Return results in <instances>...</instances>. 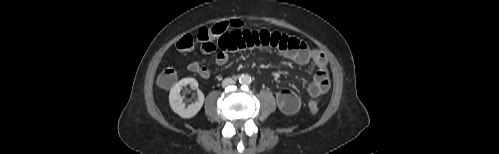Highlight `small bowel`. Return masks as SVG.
<instances>
[{"label": "small bowel", "instance_id": "1", "mask_svg": "<svg viewBox=\"0 0 499 154\" xmlns=\"http://www.w3.org/2000/svg\"><path fill=\"white\" fill-rule=\"evenodd\" d=\"M252 48L275 50L299 65L313 64L316 72L308 87L309 96L314 99L328 92L330 76L326 56L319 49L310 48L295 37L267 29H233L214 41L203 42L200 47L204 55L216 52L215 62L218 65L225 64L230 53ZM188 70L204 79L210 77L205 60L190 63ZM276 102L280 111L287 115L295 114L301 106L299 96L289 89L278 92Z\"/></svg>", "mask_w": 499, "mask_h": 154}]
</instances>
